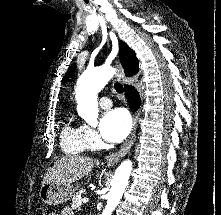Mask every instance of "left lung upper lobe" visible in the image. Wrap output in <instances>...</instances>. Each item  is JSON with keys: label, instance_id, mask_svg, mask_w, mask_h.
Listing matches in <instances>:
<instances>
[{"label": "left lung upper lobe", "instance_id": "left-lung-upper-lobe-1", "mask_svg": "<svg viewBox=\"0 0 221 215\" xmlns=\"http://www.w3.org/2000/svg\"><path fill=\"white\" fill-rule=\"evenodd\" d=\"M75 68H76L75 64L70 66V68H69V70H68L64 80H67L74 73Z\"/></svg>", "mask_w": 221, "mask_h": 215}]
</instances>
